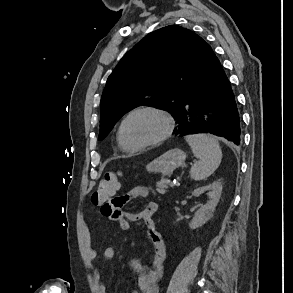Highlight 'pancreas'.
<instances>
[{
  "mask_svg": "<svg viewBox=\"0 0 293 293\" xmlns=\"http://www.w3.org/2000/svg\"><path fill=\"white\" fill-rule=\"evenodd\" d=\"M156 191L160 194H165L167 189L169 188V181L165 178H162L160 181L157 182Z\"/></svg>",
  "mask_w": 293,
  "mask_h": 293,
  "instance_id": "cf45deb5",
  "label": "pancreas"
}]
</instances>
